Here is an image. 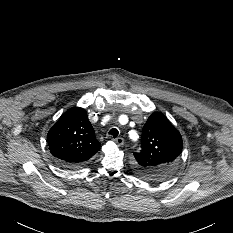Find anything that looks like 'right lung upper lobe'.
Here are the masks:
<instances>
[{
    "label": "right lung upper lobe",
    "instance_id": "right-lung-upper-lobe-1",
    "mask_svg": "<svg viewBox=\"0 0 233 233\" xmlns=\"http://www.w3.org/2000/svg\"><path fill=\"white\" fill-rule=\"evenodd\" d=\"M47 139L52 155L67 167L85 164L100 148L87 113L80 107L66 111Z\"/></svg>",
    "mask_w": 233,
    "mask_h": 233
}]
</instances>
